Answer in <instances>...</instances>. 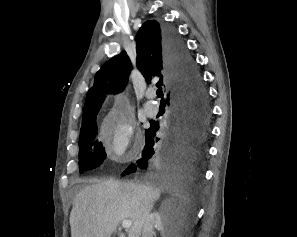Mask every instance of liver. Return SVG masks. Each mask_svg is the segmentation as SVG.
I'll list each match as a JSON object with an SVG mask.
<instances>
[{
	"mask_svg": "<svg viewBox=\"0 0 297 237\" xmlns=\"http://www.w3.org/2000/svg\"><path fill=\"white\" fill-rule=\"evenodd\" d=\"M160 193V188L149 183L106 180L88 185L74 199L71 237H111L124 220L132 221L128 237H140Z\"/></svg>",
	"mask_w": 297,
	"mask_h": 237,
	"instance_id": "obj_1",
	"label": "liver"
}]
</instances>
